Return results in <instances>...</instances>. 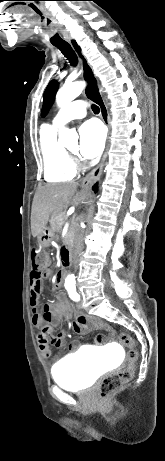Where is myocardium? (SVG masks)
Wrapping results in <instances>:
<instances>
[{"label":"myocardium","instance_id":"obj_1","mask_svg":"<svg viewBox=\"0 0 165 461\" xmlns=\"http://www.w3.org/2000/svg\"><path fill=\"white\" fill-rule=\"evenodd\" d=\"M68 153H69V155H71L73 158L76 156V153H75V152L70 151V152H68Z\"/></svg>","mask_w":165,"mask_h":461}]
</instances>
